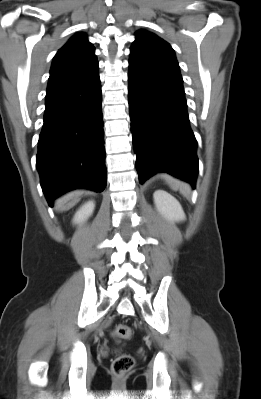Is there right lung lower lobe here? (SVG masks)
<instances>
[{"label":"right lung lower lobe","instance_id":"1","mask_svg":"<svg viewBox=\"0 0 261 399\" xmlns=\"http://www.w3.org/2000/svg\"><path fill=\"white\" fill-rule=\"evenodd\" d=\"M101 103L98 72L71 86L47 91L36 166L50 206L68 190L105 189Z\"/></svg>","mask_w":261,"mask_h":399}]
</instances>
